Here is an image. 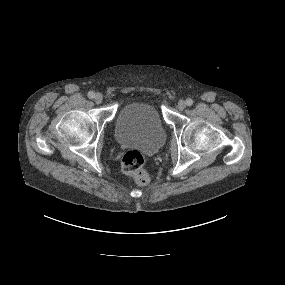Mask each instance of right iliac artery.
Here are the masks:
<instances>
[{"label": "right iliac artery", "instance_id": "1", "mask_svg": "<svg viewBox=\"0 0 285 285\" xmlns=\"http://www.w3.org/2000/svg\"><path fill=\"white\" fill-rule=\"evenodd\" d=\"M94 96H95V93H94L93 91H89V92H88V97H89L90 99L94 98Z\"/></svg>", "mask_w": 285, "mask_h": 285}]
</instances>
